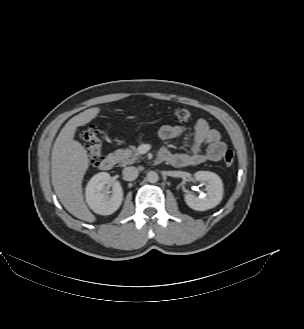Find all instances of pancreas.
Returning <instances> with one entry per match:
<instances>
[{
    "instance_id": "cf45deb5",
    "label": "pancreas",
    "mask_w": 304,
    "mask_h": 329,
    "mask_svg": "<svg viewBox=\"0 0 304 329\" xmlns=\"http://www.w3.org/2000/svg\"><path fill=\"white\" fill-rule=\"evenodd\" d=\"M114 155L121 166L133 164L141 158L137 148L134 146H129L127 149H118L114 152Z\"/></svg>"
}]
</instances>
